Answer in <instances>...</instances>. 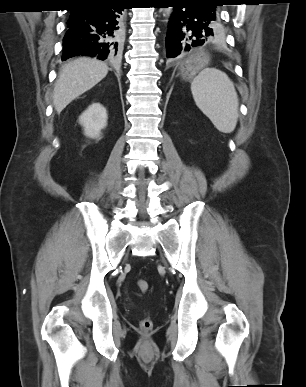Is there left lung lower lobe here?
Wrapping results in <instances>:
<instances>
[{
  "label": "left lung lower lobe",
  "mask_w": 306,
  "mask_h": 387,
  "mask_svg": "<svg viewBox=\"0 0 306 387\" xmlns=\"http://www.w3.org/2000/svg\"><path fill=\"white\" fill-rule=\"evenodd\" d=\"M173 5L166 36V54L172 64L179 56L199 47L214 36L220 22V0H163Z\"/></svg>",
  "instance_id": "1"
}]
</instances>
